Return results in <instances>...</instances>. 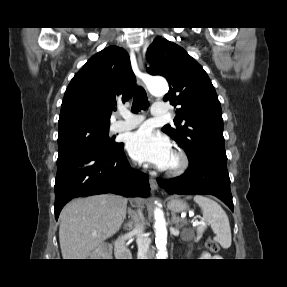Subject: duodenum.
Returning a JSON list of instances; mask_svg holds the SVG:
<instances>
[{"label": "duodenum", "mask_w": 287, "mask_h": 287, "mask_svg": "<svg viewBox=\"0 0 287 287\" xmlns=\"http://www.w3.org/2000/svg\"><path fill=\"white\" fill-rule=\"evenodd\" d=\"M125 243H126V237L125 235H121L118 239L117 256L120 258L127 259L131 257V253Z\"/></svg>", "instance_id": "410a0bca"}]
</instances>
